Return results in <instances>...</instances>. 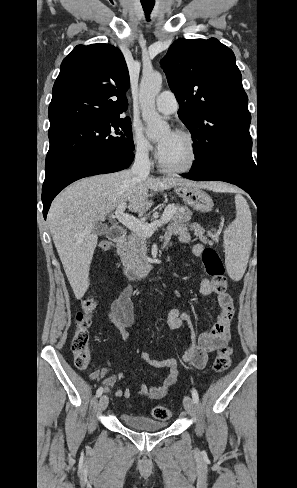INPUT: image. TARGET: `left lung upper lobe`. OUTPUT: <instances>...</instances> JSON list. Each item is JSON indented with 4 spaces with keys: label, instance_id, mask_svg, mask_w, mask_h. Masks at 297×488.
I'll list each match as a JSON object with an SVG mask.
<instances>
[{
    "label": "left lung upper lobe",
    "instance_id": "obj_1",
    "mask_svg": "<svg viewBox=\"0 0 297 488\" xmlns=\"http://www.w3.org/2000/svg\"><path fill=\"white\" fill-rule=\"evenodd\" d=\"M161 66L195 143L192 169L225 162L255 172L248 97L233 51L216 38L178 39Z\"/></svg>",
    "mask_w": 297,
    "mask_h": 488
}]
</instances>
